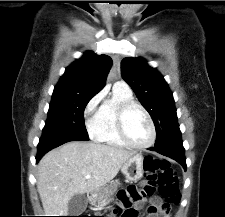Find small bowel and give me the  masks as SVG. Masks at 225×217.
I'll use <instances>...</instances> for the list:
<instances>
[{"label":"small bowel","instance_id":"1","mask_svg":"<svg viewBox=\"0 0 225 217\" xmlns=\"http://www.w3.org/2000/svg\"><path fill=\"white\" fill-rule=\"evenodd\" d=\"M141 203H142V201L138 200L137 204H136V207H140ZM162 206H163V204H161V202L158 198L152 199V206L151 207H154V208L160 207L161 208ZM163 212H164V217H170L169 210H165ZM149 217H156V214L149 212Z\"/></svg>","mask_w":225,"mask_h":217}]
</instances>
